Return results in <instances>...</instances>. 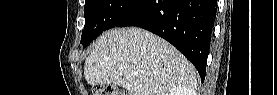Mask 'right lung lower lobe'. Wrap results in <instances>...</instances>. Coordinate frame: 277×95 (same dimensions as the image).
<instances>
[{
	"mask_svg": "<svg viewBox=\"0 0 277 95\" xmlns=\"http://www.w3.org/2000/svg\"><path fill=\"white\" fill-rule=\"evenodd\" d=\"M216 11V0H143L116 27H141L164 38L204 81Z\"/></svg>",
	"mask_w": 277,
	"mask_h": 95,
	"instance_id": "obj_1",
	"label": "right lung lower lobe"
}]
</instances>
